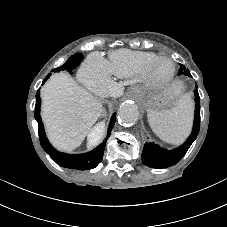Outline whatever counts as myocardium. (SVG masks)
I'll use <instances>...</instances> for the list:
<instances>
[{
  "label": "myocardium",
  "mask_w": 227,
  "mask_h": 227,
  "mask_svg": "<svg viewBox=\"0 0 227 227\" xmlns=\"http://www.w3.org/2000/svg\"><path fill=\"white\" fill-rule=\"evenodd\" d=\"M172 71V66L157 62L150 70V82L153 84L164 82L170 78Z\"/></svg>",
  "instance_id": "1"
}]
</instances>
